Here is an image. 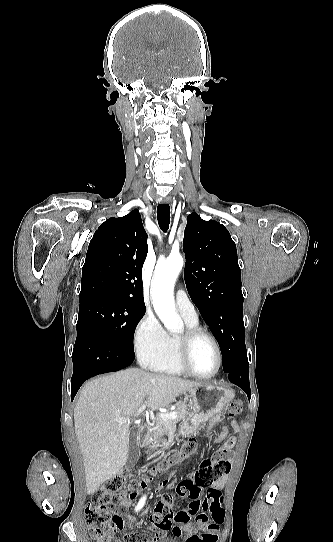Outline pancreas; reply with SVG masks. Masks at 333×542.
<instances>
[{
  "label": "pancreas",
  "instance_id": "pancreas-1",
  "mask_svg": "<svg viewBox=\"0 0 333 542\" xmlns=\"http://www.w3.org/2000/svg\"><path fill=\"white\" fill-rule=\"evenodd\" d=\"M173 412H177L178 418H176V420H163V418H159V416L156 418V426L151 428L153 440L149 446V450L165 448V444H167V434H169V432H175L176 424H178V422H181V420H188V418H191L192 416L190 412H187L186 402H182V404L176 406V410H173ZM160 414H170V412H160Z\"/></svg>",
  "mask_w": 333,
  "mask_h": 542
}]
</instances>
